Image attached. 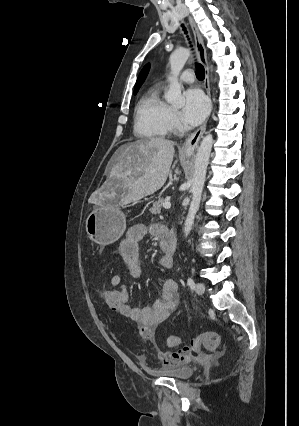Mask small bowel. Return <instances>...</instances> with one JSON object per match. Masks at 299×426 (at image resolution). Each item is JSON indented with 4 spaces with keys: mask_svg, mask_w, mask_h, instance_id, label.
<instances>
[{
    "mask_svg": "<svg viewBox=\"0 0 299 426\" xmlns=\"http://www.w3.org/2000/svg\"><path fill=\"white\" fill-rule=\"evenodd\" d=\"M163 229V227L157 225L148 228L138 224L132 226L128 230L126 237L119 245V255L132 277L137 278L141 274L139 243L147 234H152L160 238ZM159 265L165 269L172 268L173 257L164 254L159 259ZM110 285L119 287L121 292L122 303L118 312L131 319L139 327L141 336L150 341L154 340L157 326L176 310L179 303L178 285L171 279L164 281L161 297L157 299L152 306L146 308L132 307L128 304V290L119 274L112 276ZM157 357L164 366L187 363L193 359L190 352L182 350L177 352L158 351Z\"/></svg>",
    "mask_w": 299,
    "mask_h": 426,
    "instance_id": "obj_1",
    "label": "small bowel"
}]
</instances>
